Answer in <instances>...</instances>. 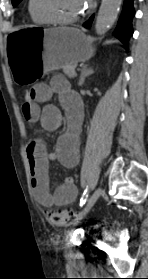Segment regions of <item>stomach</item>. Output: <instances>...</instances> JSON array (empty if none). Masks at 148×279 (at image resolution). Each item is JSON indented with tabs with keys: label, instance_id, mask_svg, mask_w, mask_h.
<instances>
[{
	"label": "stomach",
	"instance_id": "1",
	"mask_svg": "<svg viewBox=\"0 0 148 279\" xmlns=\"http://www.w3.org/2000/svg\"><path fill=\"white\" fill-rule=\"evenodd\" d=\"M5 40L8 49L9 78H15L16 87H35L43 82L49 70L65 64L85 62L93 55L92 39L76 28L44 29V25H23L11 30ZM42 49V50H39Z\"/></svg>",
	"mask_w": 148,
	"mask_h": 279
}]
</instances>
